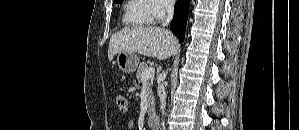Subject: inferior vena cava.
<instances>
[{
    "label": "inferior vena cava",
    "mask_w": 299,
    "mask_h": 130,
    "mask_svg": "<svg viewBox=\"0 0 299 130\" xmlns=\"http://www.w3.org/2000/svg\"><path fill=\"white\" fill-rule=\"evenodd\" d=\"M166 12H167L166 19L162 23L163 28L168 26L173 18L174 3L172 1L168 2L167 6H166ZM165 77H166V73L163 72L161 74L162 81L165 79ZM157 93H158V96H159V99L161 102L160 109L162 111V114H164L165 106H166V92H165V87H164L163 83L158 84ZM161 125H162L163 130H165V121L164 120L162 121Z\"/></svg>",
    "instance_id": "inferior-vena-cava-1"
}]
</instances>
